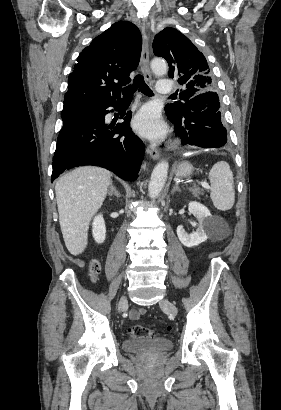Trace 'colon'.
<instances>
[{"mask_svg":"<svg viewBox=\"0 0 281 410\" xmlns=\"http://www.w3.org/2000/svg\"><path fill=\"white\" fill-rule=\"evenodd\" d=\"M100 263L97 259H93L90 263V276L93 281L97 279V276L100 272ZM128 334L131 338L141 339V338H155L158 336V333L154 330L136 325L128 329Z\"/></svg>","mask_w":281,"mask_h":410,"instance_id":"colon-1","label":"colon"}]
</instances>
